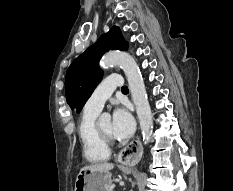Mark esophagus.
I'll use <instances>...</instances> for the list:
<instances>
[{"mask_svg":"<svg viewBox=\"0 0 233 191\" xmlns=\"http://www.w3.org/2000/svg\"><path fill=\"white\" fill-rule=\"evenodd\" d=\"M142 151L140 140L136 139L120 151L118 160L122 161L123 164H138V158Z\"/></svg>","mask_w":233,"mask_h":191,"instance_id":"34e87169","label":"esophagus"}]
</instances>
